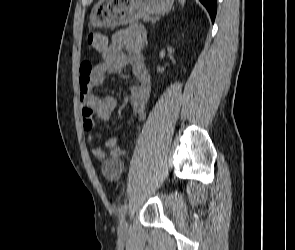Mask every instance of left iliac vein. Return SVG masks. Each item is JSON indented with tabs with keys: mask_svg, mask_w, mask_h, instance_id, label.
I'll use <instances>...</instances> for the list:
<instances>
[{
	"mask_svg": "<svg viewBox=\"0 0 295 250\" xmlns=\"http://www.w3.org/2000/svg\"><path fill=\"white\" fill-rule=\"evenodd\" d=\"M118 235L120 238H127L128 236V225L125 217L120 221Z\"/></svg>",
	"mask_w": 295,
	"mask_h": 250,
	"instance_id": "obj_1",
	"label": "left iliac vein"
}]
</instances>
